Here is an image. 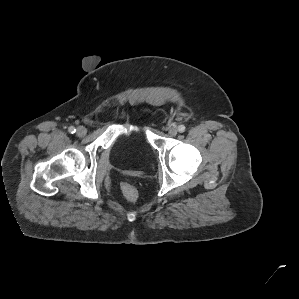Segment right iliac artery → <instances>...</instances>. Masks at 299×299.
<instances>
[{"instance_id": "right-iliac-artery-1", "label": "right iliac artery", "mask_w": 299, "mask_h": 299, "mask_svg": "<svg viewBox=\"0 0 299 299\" xmlns=\"http://www.w3.org/2000/svg\"><path fill=\"white\" fill-rule=\"evenodd\" d=\"M68 131H69L71 134H73V133H75L76 129H75V127L71 126V127H69Z\"/></svg>"}]
</instances>
